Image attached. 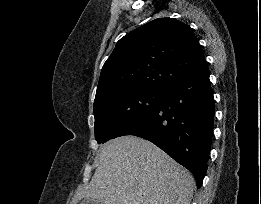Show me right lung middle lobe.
I'll return each instance as SVG.
<instances>
[{
  "mask_svg": "<svg viewBox=\"0 0 261 204\" xmlns=\"http://www.w3.org/2000/svg\"><path fill=\"white\" fill-rule=\"evenodd\" d=\"M164 95V91L129 89L112 92L94 103L95 139L104 143L121 135L146 115Z\"/></svg>",
  "mask_w": 261,
  "mask_h": 204,
  "instance_id": "dd1d6c3e",
  "label": "right lung middle lobe"
}]
</instances>
